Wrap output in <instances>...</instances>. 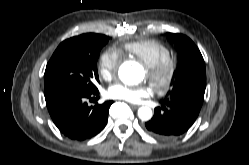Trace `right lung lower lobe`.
Returning a JSON list of instances; mask_svg holds the SVG:
<instances>
[{"mask_svg":"<svg viewBox=\"0 0 249 165\" xmlns=\"http://www.w3.org/2000/svg\"><path fill=\"white\" fill-rule=\"evenodd\" d=\"M45 100L57 128L73 140L83 141L97 135L107 123L113 101L88 106L86 100L98 97V89L83 91L75 88L46 86Z\"/></svg>","mask_w":249,"mask_h":165,"instance_id":"obj_1","label":"right lung lower lobe"}]
</instances>
